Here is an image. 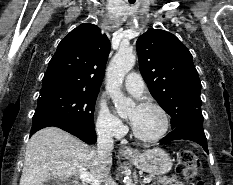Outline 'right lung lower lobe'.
Instances as JSON below:
<instances>
[{
  "instance_id": "obj_1",
  "label": "right lung lower lobe",
  "mask_w": 233,
  "mask_h": 185,
  "mask_svg": "<svg viewBox=\"0 0 233 185\" xmlns=\"http://www.w3.org/2000/svg\"><path fill=\"white\" fill-rule=\"evenodd\" d=\"M48 126H56L59 127L76 137L80 138L82 141L93 144L96 142V132L94 129H88L85 127H80L73 124L68 123H51V122H41L37 123L36 127L31 130V135L38 131L41 128L48 127Z\"/></svg>"
}]
</instances>
